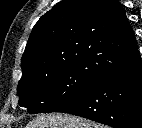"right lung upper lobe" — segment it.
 <instances>
[{
  "mask_svg": "<svg viewBox=\"0 0 142 128\" xmlns=\"http://www.w3.org/2000/svg\"><path fill=\"white\" fill-rule=\"evenodd\" d=\"M138 59L133 29L119 1L63 0L33 27L21 60V79L81 65L99 80Z\"/></svg>",
  "mask_w": 142,
  "mask_h": 128,
  "instance_id": "right-lung-upper-lobe-1",
  "label": "right lung upper lobe"
}]
</instances>
